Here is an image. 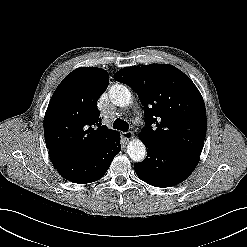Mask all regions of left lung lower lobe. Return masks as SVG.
Returning a JSON list of instances; mask_svg holds the SVG:
<instances>
[{
	"label": "left lung lower lobe",
	"instance_id": "left-lung-lower-lobe-1",
	"mask_svg": "<svg viewBox=\"0 0 247 247\" xmlns=\"http://www.w3.org/2000/svg\"><path fill=\"white\" fill-rule=\"evenodd\" d=\"M147 149L144 161L135 163L137 176L155 187H171L184 181L199 162V156L163 149L140 138Z\"/></svg>",
	"mask_w": 247,
	"mask_h": 247
}]
</instances>
